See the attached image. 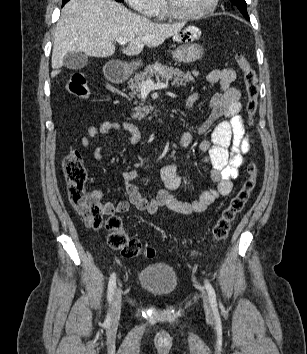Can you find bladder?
<instances>
[{
  "label": "bladder",
  "mask_w": 307,
  "mask_h": 354,
  "mask_svg": "<svg viewBox=\"0 0 307 354\" xmlns=\"http://www.w3.org/2000/svg\"><path fill=\"white\" fill-rule=\"evenodd\" d=\"M138 280L140 285L150 293L167 296L178 287V275L175 269L166 263H155L143 268Z\"/></svg>",
  "instance_id": "bladder-1"
}]
</instances>
